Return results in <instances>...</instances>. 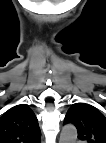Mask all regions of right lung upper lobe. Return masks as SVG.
<instances>
[{"label":"right lung upper lobe","instance_id":"right-lung-upper-lobe-1","mask_svg":"<svg viewBox=\"0 0 106 143\" xmlns=\"http://www.w3.org/2000/svg\"><path fill=\"white\" fill-rule=\"evenodd\" d=\"M40 136L37 118L26 104L0 116V143H39Z\"/></svg>","mask_w":106,"mask_h":143}]
</instances>
